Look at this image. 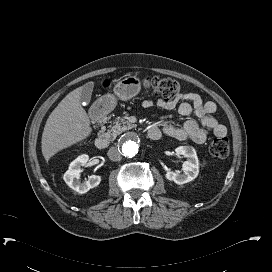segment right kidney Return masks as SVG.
Returning <instances> with one entry per match:
<instances>
[{"label": "right kidney", "instance_id": "ca27d5eb", "mask_svg": "<svg viewBox=\"0 0 272 272\" xmlns=\"http://www.w3.org/2000/svg\"><path fill=\"white\" fill-rule=\"evenodd\" d=\"M88 160L89 157L86 154L78 156L70 163L68 170L63 176L66 184L80 194L88 192L90 189L98 186L101 182V177L99 175H91L88 180L83 183L79 181L80 173L82 172L81 167L86 166Z\"/></svg>", "mask_w": 272, "mask_h": 272}]
</instances>
